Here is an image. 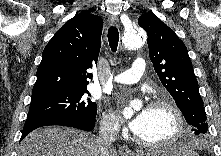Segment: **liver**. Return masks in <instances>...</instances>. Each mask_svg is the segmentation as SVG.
Returning a JSON list of instances; mask_svg holds the SVG:
<instances>
[{
	"label": "liver",
	"instance_id": "liver-1",
	"mask_svg": "<svg viewBox=\"0 0 221 156\" xmlns=\"http://www.w3.org/2000/svg\"><path fill=\"white\" fill-rule=\"evenodd\" d=\"M19 156H117L102 152L97 138L66 127H45L31 132L21 142Z\"/></svg>",
	"mask_w": 221,
	"mask_h": 156
}]
</instances>
